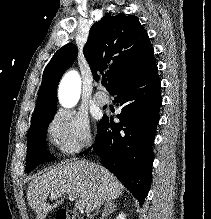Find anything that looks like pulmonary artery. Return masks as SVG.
<instances>
[{"label": "pulmonary artery", "mask_w": 211, "mask_h": 219, "mask_svg": "<svg viewBox=\"0 0 211 219\" xmlns=\"http://www.w3.org/2000/svg\"><path fill=\"white\" fill-rule=\"evenodd\" d=\"M93 100L97 105L102 106L108 103L109 97L106 93L99 91L94 94Z\"/></svg>", "instance_id": "pulmonary-artery-1"}]
</instances>
